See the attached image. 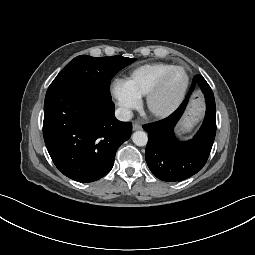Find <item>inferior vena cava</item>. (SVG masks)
<instances>
[{"label":"inferior vena cava","mask_w":255,"mask_h":255,"mask_svg":"<svg viewBox=\"0 0 255 255\" xmlns=\"http://www.w3.org/2000/svg\"><path fill=\"white\" fill-rule=\"evenodd\" d=\"M115 117L120 121H129L133 117V113L129 109L118 108L115 110Z\"/></svg>","instance_id":"obj_1"}]
</instances>
